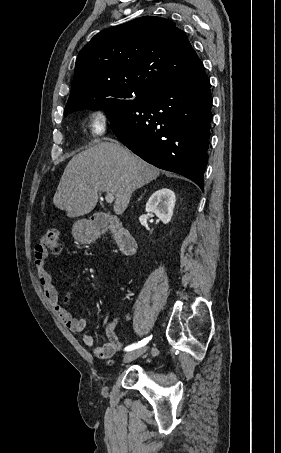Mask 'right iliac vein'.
<instances>
[{
    "label": "right iliac vein",
    "mask_w": 281,
    "mask_h": 453,
    "mask_svg": "<svg viewBox=\"0 0 281 453\" xmlns=\"http://www.w3.org/2000/svg\"><path fill=\"white\" fill-rule=\"evenodd\" d=\"M145 348V347H144ZM144 348H138V350L130 351L124 356V363L129 365L131 362L135 361L141 354L145 353L146 350ZM128 363V364H127Z\"/></svg>",
    "instance_id": "63e3f726"
}]
</instances>
